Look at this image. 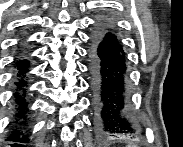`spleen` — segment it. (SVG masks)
<instances>
[{"label": "spleen", "instance_id": "1", "mask_svg": "<svg viewBox=\"0 0 183 147\" xmlns=\"http://www.w3.org/2000/svg\"><path fill=\"white\" fill-rule=\"evenodd\" d=\"M128 147H135L134 145H128Z\"/></svg>", "mask_w": 183, "mask_h": 147}]
</instances>
